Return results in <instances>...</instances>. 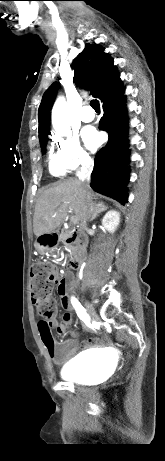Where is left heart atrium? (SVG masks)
<instances>
[{
    "mask_svg": "<svg viewBox=\"0 0 165 461\" xmlns=\"http://www.w3.org/2000/svg\"><path fill=\"white\" fill-rule=\"evenodd\" d=\"M84 141L87 146L94 150L102 143L101 135L95 129H87L83 133Z\"/></svg>",
    "mask_w": 165,
    "mask_h": 461,
    "instance_id": "1",
    "label": "left heart atrium"
}]
</instances>
